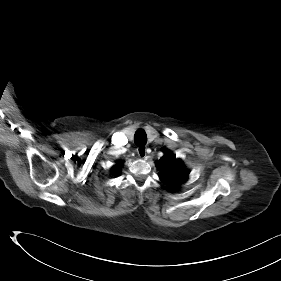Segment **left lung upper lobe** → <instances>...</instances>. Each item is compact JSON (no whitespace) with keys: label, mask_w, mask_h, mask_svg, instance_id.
I'll use <instances>...</instances> for the list:
<instances>
[{"label":"left lung upper lobe","mask_w":281,"mask_h":281,"mask_svg":"<svg viewBox=\"0 0 281 281\" xmlns=\"http://www.w3.org/2000/svg\"><path fill=\"white\" fill-rule=\"evenodd\" d=\"M163 152L165 155L156 162L159 177L168 189L175 190L187 180L189 171L171 151L164 148Z\"/></svg>","instance_id":"obj_1"}]
</instances>
